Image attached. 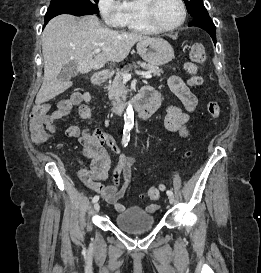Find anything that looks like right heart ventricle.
<instances>
[{
    "mask_svg": "<svg viewBox=\"0 0 261 273\" xmlns=\"http://www.w3.org/2000/svg\"><path fill=\"white\" fill-rule=\"evenodd\" d=\"M146 0H123L119 26L130 32L154 34V30L145 17Z\"/></svg>",
    "mask_w": 261,
    "mask_h": 273,
    "instance_id": "obj_1",
    "label": "right heart ventricle"
}]
</instances>
